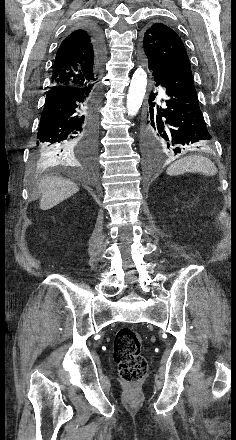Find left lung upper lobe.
I'll return each mask as SVG.
<instances>
[{
    "label": "left lung upper lobe",
    "mask_w": 236,
    "mask_h": 440,
    "mask_svg": "<svg viewBox=\"0 0 236 440\" xmlns=\"http://www.w3.org/2000/svg\"><path fill=\"white\" fill-rule=\"evenodd\" d=\"M142 55L149 66L180 65L190 69L189 58L181 38L173 29L162 23H154L145 31Z\"/></svg>",
    "instance_id": "1"
}]
</instances>
